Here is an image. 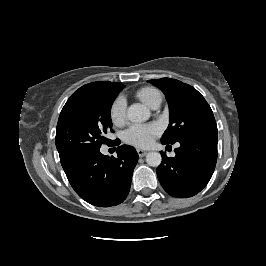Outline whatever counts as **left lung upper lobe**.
<instances>
[{"instance_id": "obj_1", "label": "left lung upper lobe", "mask_w": 266, "mask_h": 266, "mask_svg": "<svg viewBox=\"0 0 266 266\" xmlns=\"http://www.w3.org/2000/svg\"><path fill=\"white\" fill-rule=\"evenodd\" d=\"M148 82L163 91L169 105V125L162 143L174 144L195 135L218 133L212 109L194 87L171 78Z\"/></svg>"}]
</instances>
